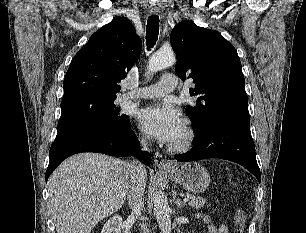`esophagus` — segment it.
I'll return each instance as SVG.
<instances>
[{
    "label": "esophagus",
    "instance_id": "1",
    "mask_svg": "<svg viewBox=\"0 0 306 233\" xmlns=\"http://www.w3.org/2000/svg\"><path fill=\"white\" fill-rule=\"evenodd\" d=\"M149 13L152 15H157L159 13V7L156 5H150L149 6ZM154 164L158 167V168H169L171 165L166 162V160L164 159V157L162 156V154L156 152L154 154Z\"/></svg>",
    "mask_w": 306,
    "mask_h": 233
}]
</instances>
